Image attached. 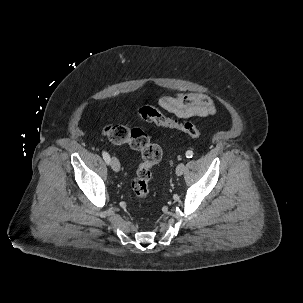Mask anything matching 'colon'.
<instances>
[{
    "label": "colon",
    "instance_id": "colon-1",
    "mask_svg": "<svg viewBox=\"0 0 303 303\" xmlns=\"http://www.w3.org/2000/svg\"><path fill=\"white\" fill-rule=\"evenodd\" d=\"M138 115L146 122L181 131L192 138H199L201 134L194 123L169 118L153 106L140 107ZM102 133L111 142L116 144L128 143L140 152L142 162L132 181V190L138 198H147L152 168L162 159V148L158 144L152 143L149 136L139 128L129 129L123 125L109 123L103 126Z\"/></svg>",
    "mask_w": 303,
    "mask_h": 303
}]
</instances>
